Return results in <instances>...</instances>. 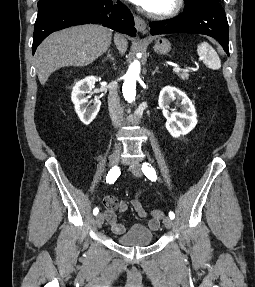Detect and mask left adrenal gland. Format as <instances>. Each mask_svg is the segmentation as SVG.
I'll return each mask as SVG.
<instances>
[{
	"label": "left adrenal gland",
	"instance_id": "a2214340",
	"mask_svg": "<svg viewBox=\"0 0 255 287\" xmlns=\"http://www.w3.org/2000/svg\"><path fill=\"white\" fill-rule=\"evenodd\" d=\"M158 70H159V68H158V66H156L154 72H152V76H154V74H156V72H158Z\"/></svg>",
	"mask_w": 255,
	"mask_h": 287
}]
</instances>
